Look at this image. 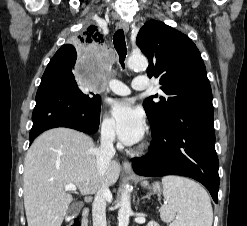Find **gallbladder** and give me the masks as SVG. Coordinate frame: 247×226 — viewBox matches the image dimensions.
Returning <instances> with one entry per match:
<instances>
[{
  "mask_svg": "<svg viewBox=\"0 0 247 226\" xmlns=\"http://www.w3.org/2000/svg\"><path fill=\"white\" fill-rule=\"evenodd\" d=\"M81 208H82V205L80 203L71 204L67 210V217L72 218V217L77 216Z\"/></svg>",
  "mask_w": 247,
  "mask_h": 226,
  "instance_id": "bac80fb5",
  "label": "gallbladder"
}]
</instances>
